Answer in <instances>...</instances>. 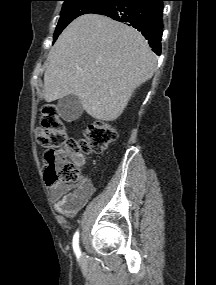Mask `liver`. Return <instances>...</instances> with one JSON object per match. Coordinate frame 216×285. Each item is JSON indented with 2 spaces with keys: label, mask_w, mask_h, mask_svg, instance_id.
<instances>
[{
  "label": "liver",
  "mask_w": 216,
  "mask_h": 285,
  "mask_svg": "<svg viewBox=\"0 0 216 285\" xmlns=\"http://www.w3.org/2000/svg\"><path fill=\"white\" fill-rule=\"evenodd\" d=\"M155 69L156 57L136 29L102 15H82L48 55L44 99L75 95L87 114L114 121Z\"/></svg>",
  "instance_id": "obj_1"
}]
</instances>
